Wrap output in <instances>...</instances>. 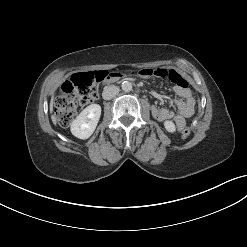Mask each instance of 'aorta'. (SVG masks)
<instances>
[{
    "label": "aorta",
    "instance_id": "762f6f07",
    "mask_svg": "<svg viewBox=\"0 0 247 247\" xmlns=\"http://www.w3.org/2000/svg\"><path fill=\"white\" fill-rule=\"evenodd\" d=\"M121 87L124 92H130L132 90V83L129 81H124Z\"/></svg>",
    "mask_w": 247,
    "mask_h": 247
}]
</instances>
